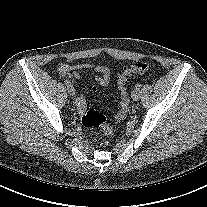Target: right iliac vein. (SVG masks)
Listing matches in <instances>:
<instances>
[{
	"label": "right iliac vein",
	"mask_w": 207,
	"mask_h": 207,
	"mask_svg": "<svg viewBox=\"0 0 207 207\" xmlns=\"http://www.w3.org/2000/svg\"><path fill=\"white\" fill-rule=\"evenodd\" d=\"M67 91L72 96L75 94V88L72 85L67 86Z\"/></svg>",
	"instance_id": "obj_1"
}]
</instances>
